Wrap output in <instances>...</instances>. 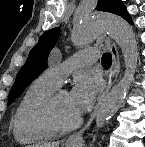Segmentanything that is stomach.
<instances>
[{
	"label": "stomach",
	"instance_id": "stomach-1",
	"mask_svg": "<svg viewBox=\"0 0 145 147\" xmlns=\"http://www.w3.org/2000/svg\"><path fill=\"white\" fill-rule=\"evenodd\" d=\"M65 147H79L78 144H66Z\"/></svg>",
	"mask_w": 145,
	"mask_h": 147
}]
</instances>
